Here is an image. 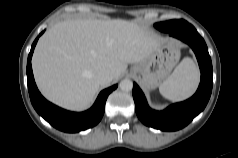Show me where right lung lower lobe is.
I'll return each instance as SVG.
<instances>
[{"label": "right lung lower lobe", "mask_w": 238, "mask_h": 158, "mask_svg": "<svg viewBox=\"0 0 238 158\" xmlns=\"http://www.w3.org/2000/svg\"><path fill=\"white\" fill-rule=\"evenodd\" d=\"M37 40L38 37L32 44L27 61L28 90L31 103L37 113L41 115L46 121H48L53 127L64 132H79L98 124L104 114L107 97L114 89L117 88V85L103 90L99 94L94 105L89 110L82 113L66 111L53 105L52 103L48 102L38 91L32 73L31 58Z\"/></svg>", "instance_id": "98d812e1"}]
</instances>
